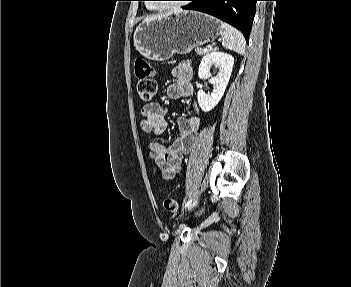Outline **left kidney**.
<instances>
[{"mask_svg":"<svg viewBox=\"0 0 351 287\" xmlns=\"http://www.w3.org/2000/svg\"><path fill=\"white\" fill-rule=\"evenodd\" d=\"M233 64L234 58L224 52L212 51L203 57L198 70L199 78L208 76L213 65L219 68V72L210 79V83L213 85L211 93L206 94L203 90H199L197 93L198 104L202 111L212 110L221 100L229 82Z\"/></svg>","mask_w":351,"mask_h":287,"instance_id":"1","label":"left kidney"}]
</instances>
